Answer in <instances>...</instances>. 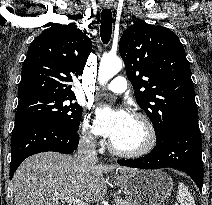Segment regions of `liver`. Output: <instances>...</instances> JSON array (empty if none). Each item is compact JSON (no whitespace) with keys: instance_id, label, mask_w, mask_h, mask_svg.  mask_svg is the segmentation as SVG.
<instances>
[{"instance_id":"1","label":"liver","mask_w":212,"mask_h":205,"mask_svg":"<svg viewBox=\"0 0 212 205\" xmlns=\"http://www.w3.org/2000/svg\"><path fill=\"white\" fill-rule=\"evenodd\" d=\"M113 170L125 173L134 169L97 163L83 165L77 157L57 152L33 155L14 174L15 205H61L66 197L97 202L107 193L103 173Z\"/></svg>"}]
</instances>
